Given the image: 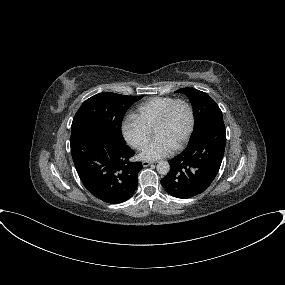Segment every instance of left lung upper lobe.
<instances>
[{
  "mask_svg": "<svg viewBox=\"0 0 285 285\" xmlns=\"http://www.w3.org/2000/svg\"><path fill=\"white\" fill-rule=\"evenodd\" d=\"M176 92L185 94L193 106L195 125L190 140H192L208 122L216 118H223L219 106L207 93L193 88H181Z\"/></svg>",
  "mask_w": 285,
  "mask_h": 285,
  "instance_id": "left-lung-upper-lobe-1",
  "label": "left lung upper lobe"
}]
</instances>
